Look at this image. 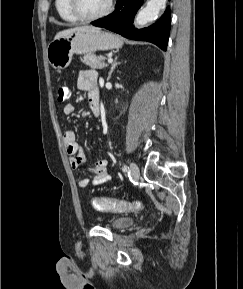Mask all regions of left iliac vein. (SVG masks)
I'll return each mask as SVG.
<instances>
[{
	"label": "left iliac vein",
	"instance_id": "1",
	"mask_svg": "<svg viewBox=\"0 0 243 289\" xmlns=\"http://www.w3.org/2000/svg\"><path fill=\"white\" fill-rule=\"evenodd\" d=\"M130 173L134 180L137 181L139 179L140 177L139 167L134 162L130 163Z\"/></svg>",
	"mask_w": 243,
	"mask_h": 289
}]
</instances>
